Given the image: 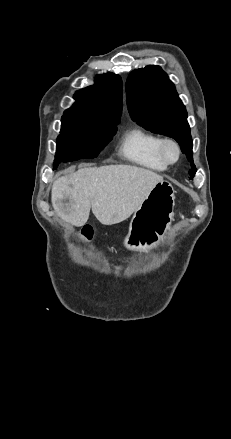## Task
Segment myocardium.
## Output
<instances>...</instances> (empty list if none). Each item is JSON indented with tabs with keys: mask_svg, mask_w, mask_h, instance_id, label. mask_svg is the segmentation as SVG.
I'll return each mask as SVG.
<instances>
[{
	"mask_svg": "<svg viewBox=\"0 0 231 439\" xmlns=\"http://www.w3.org/2000/svg\"><path fill=\"white\" fill-rule=\"evenodd\" d=\"M169 148H173L175 151V157L171 158L169 155ZM159 153L161 158L167 165L176 164L181 158V147L179 143L172 138H162L159 144Z\"/></svg>",
	"mask_w": 231,
	"mask_h": 439,
	"instance_id": "f54148a6",
	"label": "myocardium"
}]
</instances>
